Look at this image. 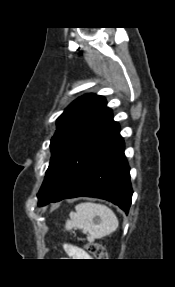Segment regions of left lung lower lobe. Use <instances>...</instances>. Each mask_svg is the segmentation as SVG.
Wrapping results in <instances>:
<instances>
[{
    "mask_svg": "<svg viewBox=\"0 0 175 287\" xmlns=\"http://www.w3.org/2000/svg\"><path fill=\"white\" fill-rule=\"evenodd\" d=\"M129 171L124 140L119 135L51 202L80 196L95 197L110 201L128 213L132 198Z\"/></svg>",
    "mask_w": 175,
    "mask_h": 287,
    "instance_id": "obj_1",
    "label": "left lung lower lobe"
}]
</instances>
